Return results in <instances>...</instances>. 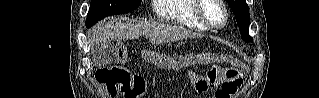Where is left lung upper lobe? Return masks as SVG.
<instances>
[{
  "label": "left lung upper lobe",
  "instance_id": "5c2ea615",
  "mask_svg": "<svg viewBox=\"0 0 319 98\" xmlns=\"http://www.w3.org/2000/svg\"><path fill=\"white\" fill-rule=\"evenodd\" d=\"M231 10L235 14V18L242 34V38L246 42H252L253 39L249 36L250 15L249 8L245 0H227Z\"/></svg>",
  "mask_w": 319,
  "mask_h": 98
}]
</instances>
